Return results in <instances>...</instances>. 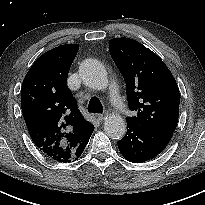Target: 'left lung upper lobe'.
Here are the masks:
<instances>
[{"label": "left lung upper lobe", "mask_w": 205, "mask_h": 205, "mask_svg": "<svg viewBox=\"0 0 205 205\" xmlns=\"http://www.w3.org/2000/svg\"><path fill=\"white\" fill-rule=\"evenodd\" d=\"M112 59L126 82L129 108L135 116L126 122L173 133L180 93L165 63L150 49L130 38L109 41Z\"/></svg>", "instance_id": "5c2ea615"}]
</instances>
